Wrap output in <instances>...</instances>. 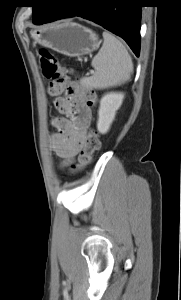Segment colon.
<instances>
[{
    "label": "colon",
    "instance_id": "5ec220e1",
    "mask_svg": "<svg viewBox=\"0 0 181 300\" xmlns=\"http://www.w3.org/2000/svg\"><path fill=\"white\" fill-rule=\"evenodd\" d=\"M42 73L49 80L48 93L52 96L66 94L67 97L83 98L88 106H94L97 102L96 92L87 87L80 78L70 82L65 68L60 64L57 56L47 50L40 51ZM65 114L69 113L64 108ZM100 138L96 130L92 129L85 137L82 149L79 152L76 164L71 165L70 171L82 170L92 161L93 155L100 148Z\"/></svg>",
    "mask_w": 181,
    "mask_h": 300
}]
</instances>
